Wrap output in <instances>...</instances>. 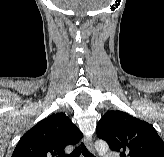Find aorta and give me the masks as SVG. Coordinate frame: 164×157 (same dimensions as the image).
Listing matches in <instances>:
<instances>
[{
    "label": "aorta",
    "mask_w": 164,
    "mask_h": 157,
    "mask_svg": "<svg viewBox=\"0 0 164 157\" xmlns=\"http://www.w3.org/2000/svg\"><path fill=\"white\" fill-rule=\"evenodd\" d=\"M95 148H96V151L98 152V154L103 157L106 155V153L108 152L109 150V146L108 144L103 141V140H99L95 143Z\"/></svg>",
    "instance_id": "obj_1"
}]
</instances>
